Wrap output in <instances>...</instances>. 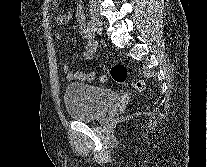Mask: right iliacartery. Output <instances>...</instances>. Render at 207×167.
Returning a JSON list of instances; mask_svg holds the SVG:
<instances>
[{"label": "right iliac artery", "mask_w": 207, "mask_h": 167, "mask_svg": "<svg viewBox=\"0 0 207 167\" xmlns=\"http://www.w3.org/2000/svg\"><path fill=\"white\" fill-rule=\"evenodd\" d=\"M87 31H88L90 37H94L95 29H94L91 21H89L87 24Z\"/></svg>", "instance_id": "right-iliac-artery-1"}]
</instances>
